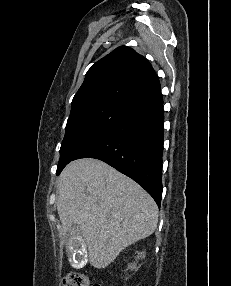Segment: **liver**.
<instances>
[{"label":"liver","instance_id":"liver-1","mask_svg":"<svg viewBox=\"0 0 231 286\" xmlns=\"http://www.w3.org/2000/svg\"><path fill=\"white\" fill-rule=\"evenodd\" d=\"M56 205L63 234L84 241L89 262L105 268L119 253L157 228L158 207L135 181L97 159H79L62 171Z\"/></svg>","mask_w":231,"mask_h":286}]
</instances>
